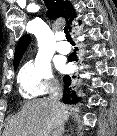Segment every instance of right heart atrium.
I'll return each instance as SVG.
<instances>
[{
    "mask_svg": "<svg viewBox=\"0 0 117 136\" xmlns=\"http://www.w3.org/2000/svg\"><path fill=\"white\" fill-rule=\"evenodd\" d=\"M18 83L26 99H37L59 92V82L53 75L47 61L35 59L27 62L20 69Z\"/></svg>",
    "mask_w": 117,
    "mask_h": 136,
    "instance_id": "right-heart-atrium-1",
    "label": "right heart atrium"
}]
</instances>
